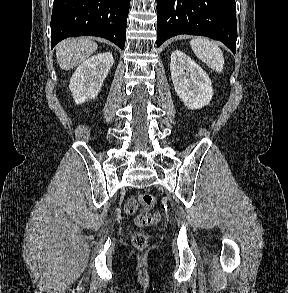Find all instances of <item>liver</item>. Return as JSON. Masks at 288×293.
<instances>
[{"label": "liver", "mask_w": 288, "mask_h": 293, "mask_svg": "<svg viewBox=\"0 0 288 293\" xmlns=\"http://www.w3.org/2000/svg\"><path fill=\"white\" fill-rule=\"evenodd\" d=\"M97 48V43L89 38L63 40L56 46L57 62L61 69H72L89 58Z\"/></svg>", "instance_id": "liver-1"}]
</instances>
